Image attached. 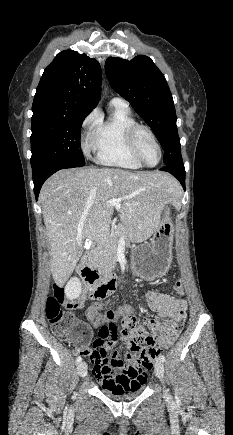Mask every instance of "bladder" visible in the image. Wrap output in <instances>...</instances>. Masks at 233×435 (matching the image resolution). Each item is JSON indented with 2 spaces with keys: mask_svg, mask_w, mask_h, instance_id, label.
<instances>
[{
  "mask_svg": "<svg viewBox=\"0 0 233 435\" xmlns=\"http://www.w3.org/2000/svg\"><path fill=\"white\" fill-rule=\"evenodd\" d=\"M144 382H141L140 385H137L131 392L128 393H119L116 390H113L110 387H102L101 391L106 396L115 399V400H127L132 399L140 395L144 391Z\"/></svg>",
  "mask_w": 233,
  "mask_h": 435,
  "instance_id": "1",
  "label": "bladder"
}]
</instances>
